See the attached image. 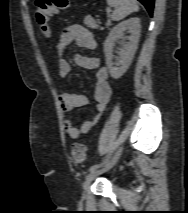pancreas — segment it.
Masks as SVG:
<instances>
[{"instance_id":"cf45deb5","label":"pancreas","mask_w":188,"mask_h":213,"mask_svg":"<svg viewBox=\"0 0 188 213\" xmlns=\"http://www.w3.org/2000/svg\"><path fill=\"white\" fill-rule=\"evenodd\" d=\"M84 24L92 29H97L99 27L98 21L93 19L91 16H86L83 20Z\"/></svg>"}]
</instances>
